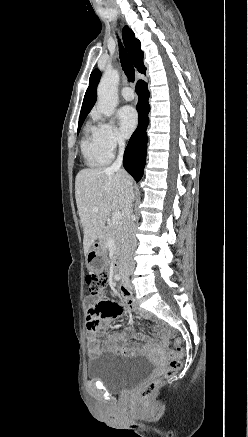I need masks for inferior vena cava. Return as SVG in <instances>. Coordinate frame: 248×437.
<instances>
[{
    "label": "inferior vena cava",
    "mask_w": 248,
    "mask_h": 437,
    "mask_svg": "<svg viewBox=\"0 0 248 437\" xmlns=\"http://www.w3.org/2000/svg\"><path fill=\"white\" fill-rule=\"evenodd\" d=\"M119 153L117 159L110 167L111 170H120L123 161V153L125 149V142L123 139L118 140ZM134 201V191L132 185L126 189L125 198V219L123 223V244H122V264L124 266L132 267V254L136 246L135 224L132 216V203Z\"/></svg>",
    "instance_id": "inferior-vena-cava-1"
}]
</instances>
